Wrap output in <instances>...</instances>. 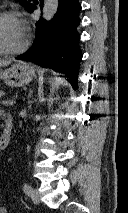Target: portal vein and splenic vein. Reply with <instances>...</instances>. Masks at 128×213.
Masks as SVG:
<instances>
[{"mask_svg": "<svg viewBox=\"0 0 128 213\" xmlns=\"http://www.w3.org/2000/svg\"><path fill=\"white\" fill-rule=\"evenodd\" d=\"M10 104V105H12L13 103H14V101H11V102H8V101H3V104Z\"/></svg>", "mask_w": 128, "mask_h": 213, "instance_id": "portal-vein-and-splenic-vein-1", "label": "portal vein and splenic vein"}]
</instances>
